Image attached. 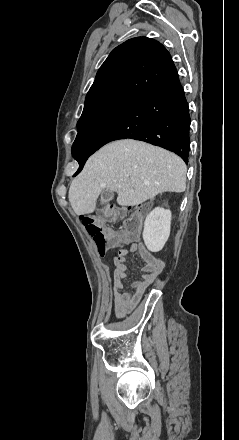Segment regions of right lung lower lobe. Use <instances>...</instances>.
Returning <instances> with one entry per match:
<instances>
[{"instance_id":"right-lung-lower-lobe-1","label":"right lung lower lobe","mask_w":239,"mask_h":440,"mask_svg":"<svg viewBox=\"0 0 239 440\" xmlns=\"http://www.w3.org/2000/svg\"><path fill=\"white\" fill-rule=\"evenodd\" d=\"M190 115L185 93L174 67L146 92L132 99L117 120L98 138L91 151L74 154L80 168L106 143L135 139L160 146L179 155L186 163L190 150Z\"/></svg>"}]
</instances>
